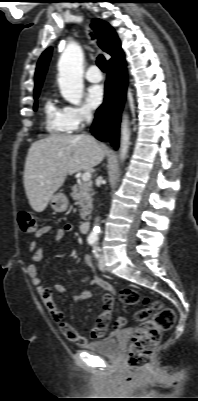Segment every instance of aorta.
Instances as JSON below:
<instances>
[{
	"label": "aorta",
	"mask_w": 198,
	"mask_h": 401,
	"mask_svg": "<svg viewBox=\"0 0 198 401\" xmlns=\"http://www.w3.org/2000/svg\"><path fill=\"white\" fill-rule=\"evenodd\" d=\"M83 53L77 44H69L64 52L62 53L59 62L58 70L59 77L58 83L61 95L69 103L78 105L81 102L83 94ZM130 132L128 128L127 117H124L122 123V137H121V148L120 156L124 159L128 146H129ZM100 232V227L95 224L89 238L97 240Z\"/></svg>",
	"instance_id": "obj_1"
}]
</instances>
